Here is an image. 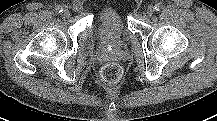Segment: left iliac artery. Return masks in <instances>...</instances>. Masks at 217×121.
<instances>
[{
    "mask_svg": "<svg viewBox=\"0 0 217 121\" xmlns=\"http://www.w3.org/2000/svg\"><path fill=\"white\" fill-rule=\"evenodd\" d=\"M154 8H155L156 11H160L162 9V4L157 3Z\"/></svg>",
    "mask_w": 217,
    "mask_h": 121,
    "instance_id": "obj_1",
    "label": "left iliac artery"
}]
</instances>
